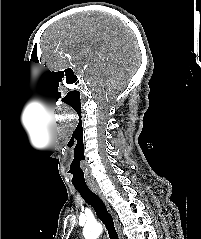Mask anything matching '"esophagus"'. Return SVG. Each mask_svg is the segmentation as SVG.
I'll return each instance as SVG.
<instances>
[{
	"label": "esophagus",
	"instance_id": "1",
	"mask_svg": "<svg viewBox=\"0 0 201 239\" xmlns=\"http://www.w3.org/2000/svg\"><path fill=\"white\" fill-rule=\"evenodd\" d=\"M91 189L105 202V198L104 196L101 194V191L99 190V188L97 186H91ZM117 226V230L119 233V239H124L123 233L121 231V228L119 226L118 223H116Z\"/></svg>",
	"mask_w": 201,
	"mask_h": 239
}]
</instances>
